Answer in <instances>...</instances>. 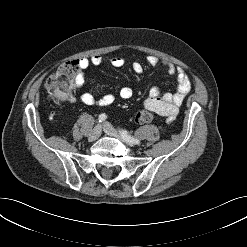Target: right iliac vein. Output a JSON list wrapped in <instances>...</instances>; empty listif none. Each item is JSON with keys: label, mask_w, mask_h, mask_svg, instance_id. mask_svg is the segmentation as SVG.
<instances>
[{"label": "right iliac vein", "mask_w": 247, "mask_h": 247, "mask_svg": "<svg viewBox=\"0 0 247 247\" xmlns=\"http://www.w3.org/2000/svg\"><path fill=\"white\" fill-rule=\"evenodd\" d=\"M101 135V126L96 125L89 134V140L94 141L99 138Z\"/></svg>", "instance_id": "right-iliac-vein-1"}]
</instances>
